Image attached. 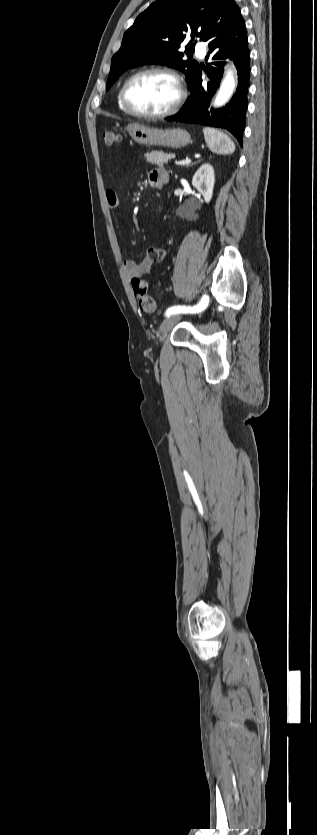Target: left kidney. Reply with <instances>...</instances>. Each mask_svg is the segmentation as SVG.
<instances>
[{
    "mask_svg": "<svg viewBox=\"0 0 317 835\" xmlns=\"http://www.w3.org/2000/svg\"><path fill=\"white\" fill-rule=\"evenodd\" d=\"M215 184L214 169L211 164H203L195 173L192 179V185L204 197V201L209 203L211 201Z\"/></svg>",
    "mask_w": 317,
    "mask_h": 835,
    "instance_id": "left-kidney-1",
    "label": "left kidney"
}]
</instances>
